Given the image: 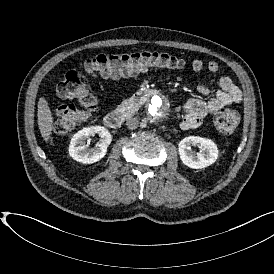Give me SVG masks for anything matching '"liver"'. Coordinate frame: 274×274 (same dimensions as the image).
I'll return each mask as SVG.
<instances>
[{"instance_id": "1", "label": "liver", "mask_w": 274, "mask_h": 274, "mask_svg": "<svg viewBox=\"0 0 274 274\" xmlns=\"http://www.w3.org/2000/svg\"><path fill=\"white\" fill-rule=\"evenodd\" d=\"M38 127L45 142H48L53 129V117L45 98L41 97L38 101Z\"/></svg>"}]
</instances>
